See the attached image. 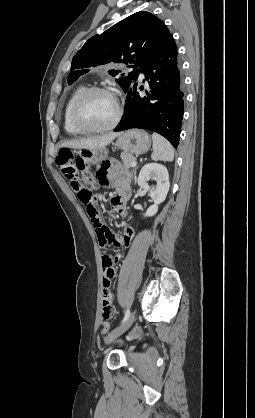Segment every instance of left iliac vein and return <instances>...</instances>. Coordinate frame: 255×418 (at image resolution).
Masks as SVG:
<instances>
[{
    "mask_svg": "<svg viewBox=\"0 0 255 418\" xmlns=\"http://www.w3.org/2000/svg\"><path fill=\"white\" fill-rule=\"evenodd\" d=\"M135 320V312L133 311L128 319L123 322L120 326L112 330L107 337L105 338V343L108 345L115 341L120 335H122L125 331H127L133 324Z\"/></svg>",
    "mask_w": 255,
    "mask_h": 418,
    "instance_id": "left-iliac-vein-1",
    "label": "left iliac vein"
}]
</instances>
